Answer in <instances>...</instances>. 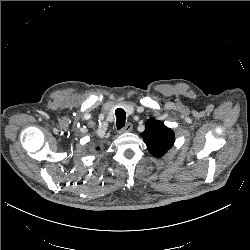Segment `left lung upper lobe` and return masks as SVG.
<instances>
[{"label":"left lung upper lobe","instance_id":"5c2ea615","mask_svg":"<svg viewBox=\"0 0 250 250\" xmlns=\"http://www.w3.org/2000/svg\"><path fill=\"white\" fill-rule=\"evenodd\" d=\"M149 152L157 157H162L174 144V133L161 121L154 118L145 124V130L141 133Z\"/></svg>","mask_w":250,"mask_h":250}]
</instances>
